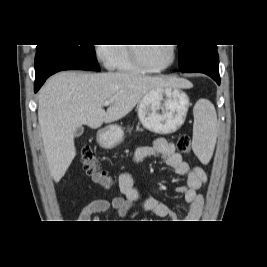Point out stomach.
<instances>
[{
  "instance_id": "obj_1",
  "label": "stomach",
  "mask_w": 267,
  "mask_h": 267,
  "mask_svg": "<svg viewBox=\"0 0 267 267\" xmlns=\"http://www.w3.org/2000/svg\"><path fill=\"white\" fill-rule=\"evenodd\" d=\"M189 97L177 87L155 88L139 101L138 117L142 125L157 134L177 131L185 121ZM123 139V130L118 125L109 126L97 135L103 148H113Z\"/></svg>"
}]
</instances>
